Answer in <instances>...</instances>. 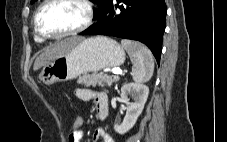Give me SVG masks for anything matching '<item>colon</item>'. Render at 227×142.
<instances>
[{"label":"colon","mask_w":227,"mask_h":142,"mask_svg":"<svg viewBox=\"0 0 227 142\" xmlns=\"http://www.w3.org/2000/svg\"><path fill=\"white\" fill-rule=\"evenodd\" d=\"M72 133H79L84 128V120L80 114H76L73 118Z\"/></svg>","instance_id":"1"}]
</instances>
